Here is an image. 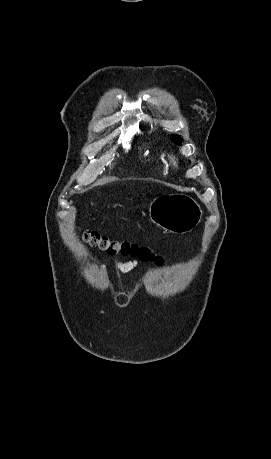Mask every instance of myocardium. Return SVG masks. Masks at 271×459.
Returning <instances> with one entry per match:
<instances>
[{"label":"myocardium","mask_w":271,"mask_h":459,"mask_svg":"<svg viewBox=\"0 0 271 459\" xmlns=\"http://www.w3.org/2000/svg\"><path fill=\"white\" fill-rule=\"evenodd\" d=\"M170 160H171V163H172L173 165H178V164H179V159H178V157L175 156V155H172V156L170 157Z\"/></svg>","instance_id":"f54148a6"}]
</instances>
